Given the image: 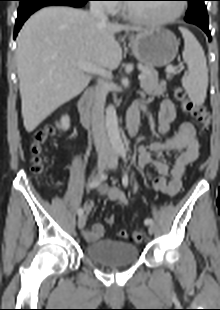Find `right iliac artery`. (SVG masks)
Returning <instances> with one entry per match:
<instances>
[{
  "label": "right iliac artery",
  "instance_id": "obj_1",
  "mask_svg": "<svg viewBox=\"0 0 220 310\" xmlns=\"http://www.w3.org/2000/svg\"><path fill=\"white\" fill-rule=\"evenodd\" d=\"M117 152H118V151H116V153H117ZM106 177H107V176L103 174V175L100 177V179H93V180L89 181V183H88L89 188H96L97 186H99V184H100V182H101L102 180H105V179H106ZM77 213H78L79 216H81V215H83L84 211H83L82 208H79L78 211H77Z\"/></svg>",
  "mask_w": 220,
  "mask_h": 310
}]
</instances>
